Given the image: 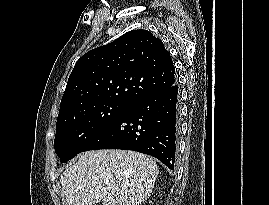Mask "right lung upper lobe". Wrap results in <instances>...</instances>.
Wrapping results in <instances>:
<instances>
[{
  "instance_id": "obj_1",
  "label": "right lung upper lobe",
  "mask_w": 269,
  "mask_h": 205,
  "mask_svg": "<svg viewBox=\"0 0 269 205\" xmlns=\"http://www.w3.org/2000/svg\"><path fill=\"white\" fill-rule=\"evenodd\" d=\"M175 83V67L162 41L147 30L129 31L76 62L58 119L101 102L131 104Z\"/></svg>"
}]
</instances>
